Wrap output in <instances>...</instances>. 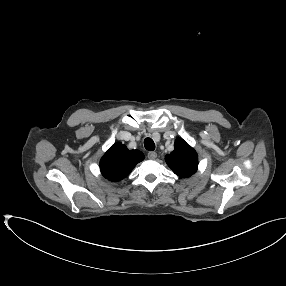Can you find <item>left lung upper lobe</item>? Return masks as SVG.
I'll return each mask as SVG.
<instances>
[{
    "label": "left lung upper lobe",
    "mask_w": 286,
    "mask_h": 286,
    "mask_svg": "<svg viewBox=\"0 0 286 286\" xmlns=\"http://www.w3.org/2000/svg\"><path fill=\"white\" fill-rule=\"evenodd\" d=\"M165 160L172 171L181 178H187L197 171L198 157L195 150L183 139L175 141V149Z\"/></svg>",
    "instance_id": "1"
}]
</instances>
